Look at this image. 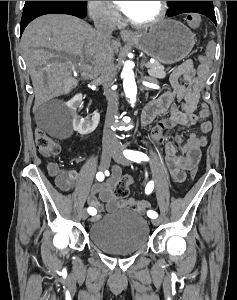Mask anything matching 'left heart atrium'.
I'll return each instance as SVG.
<instances>
[{
	"label": "left heart atrium",
	"mask_w": 237,
	"mask_h": 300,
	"mask_svg": "<svg viewBox=\"0 0 237 300\" xmlns=\"http://www.w3.org/2000/svg\"><path fill=\"white\" fill-rule=\"evenodd\" d=\"M135 1H120L119 3V9L128 15V13L131 11L132 7L134 6Z\"/></svg>",
	"instance_id": "left-heart-atrium-1"
}]
</instances>
